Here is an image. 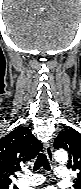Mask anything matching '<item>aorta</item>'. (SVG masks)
<instances>
[{
	"label": "aorta",
	"mask_w": 81,
	"mask_h": 189,
	"mask_svg": "<svg viewBox=\"0 0 81 189\" xmlns=\"http://www.w3.org/2000/svg\"><path fill=\"white\" fill-rule=\"evenodd\" d=\"M54 158L57 162H60V163H65L67 162L68 160V154L66 151L64 150H57L55 153H54Z\"/></svg>",
	"instance_id": "obj_1"
}]
</instances>
